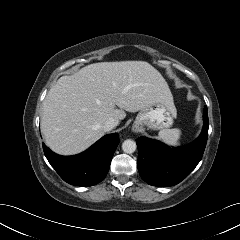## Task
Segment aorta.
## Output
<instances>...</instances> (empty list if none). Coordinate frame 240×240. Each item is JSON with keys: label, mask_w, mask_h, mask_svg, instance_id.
Listing matches in <instances>:
<instances>
[{"label": "aorta", "mask_w": 240, "mask_h": 240, "mask_svg": "<svg viewBox=\"0 0 240 240\" xmlns=\"http://www.w3.org/2000/svg\"><path fill=\"white\" fill-rule=\"evenodd\" d=\"M136 148H137L136 142L131 139H127L122 143V150L125 153L131 154L135 152Z\"/></svg>", "instance_id": "1"}]
</instances>
